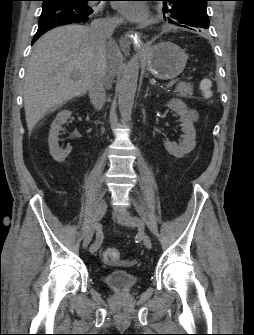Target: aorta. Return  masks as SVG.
<instances>
[{"instance_id":"1","label":"aorta","mask_w":254,"mask_h":335,"mask_svg":"<svg viewBox=\"0 0 254 335\" xmlns=\"http://www.w3.org/2000/svg\"><path fill=\"white\" fill-rule=\"evenodd\" d=\"M139 67L140 63L138 55H134L125 67L119 84L118 105L123 121L130 120L132 115V109L137 90Z\"/></svg>"}]
</instances>
